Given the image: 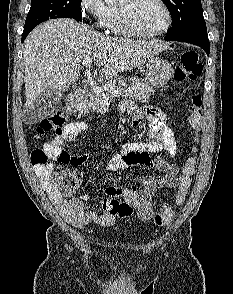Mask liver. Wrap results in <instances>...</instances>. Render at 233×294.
Segmentation results:
<instances>
[{
	"mask_svg": "<svg viewBox=\"0 0 233 294\" xmlns=\"http://www.w3.org/2000/svg\"><path fill=\"white\" fill-rule=\"evenodd\" d=\"M23 46L27 110L34 108L47 88L67 91L79 79V67L86 58L101 67V78L108 79L167 49L158 41L104 35L71 19L43 23L28 35Z\"/></svg>",
	"mask_w": 233,
	"mask_h": 294,
	"instance_id": "liver-1",
	"label": "liver"
}]
</instances>
